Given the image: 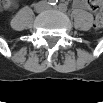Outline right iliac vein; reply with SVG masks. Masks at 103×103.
<instances>
[{"mask_svg":"<svg viewBox=\"0 0 103 103\" xmlns=\"http://www.w3.org/2000/svg\"><path fill=\"white\" fill-rule=\"evenodd\" d=\"M45 8V5L43 4H40L38 7H37V11H42L43 9Z\"/></svg>","mask_w":103,"mask_h":103,"instance_id":"right-iliac-vein-1","label":"right iliac vein"}]
</instances>
